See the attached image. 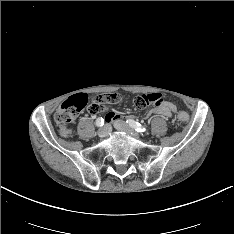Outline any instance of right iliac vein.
I'll return each mask as SVG.
<instances>
[{
    "mask_svg": "<svg viewBox=\"0 0 234 234\" xmlns=\"http://www.w3.org/2000/svg\"><path fill=\"white\" fill-rule=\"evenodd\" d=\"M110 131V126L109 125H105L104 127L100 128L98 130V136L100 138H104L109 134Z\"/></svg>",
    "mask_w": 234,
    "mask_h": 234,
    "instance_id": "63e3f726",
    "label": "right iliac vein"
}]
</instances>
